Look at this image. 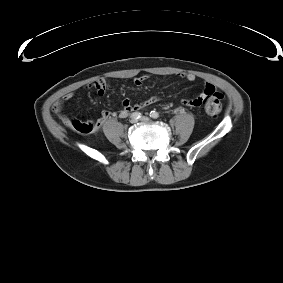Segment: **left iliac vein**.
Listing matches in <instances>:
<instances>
[{"mask_svg": "<svg viewBox=\"0 0 283 283\" xmlns=\"http://www.w3.org/2000/svg\"><path fill=\"white\" fill-rule=\"evenodd\" d=\"M141 121L148 122V121H150V119H149L148 117H143V118L141 119Z\"/></svg>", "mask_w": 283, "mask_h": 283, "instance_id": "1", "label": "left iliac vein"}]
</instances>
